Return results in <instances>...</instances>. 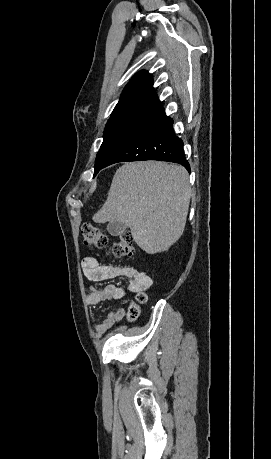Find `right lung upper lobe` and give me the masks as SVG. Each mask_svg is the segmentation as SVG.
<instances>
[{"label":"right lung upper lobe","mask_w":271,"mask_h":459,"mask_svg":"<svg viewBox=\"0 0 271 459\" xmlns=\"http://www.w3.org/2000/svg\"><path fill=\"white\" fill-rule=\"evenodd\" d=\"M129 111H150L158 115L164 109L153 89V79L146 71H140L127 84L112 114Z\"/></svg>","instance_id":"cb5924a9"}]
</instances>
